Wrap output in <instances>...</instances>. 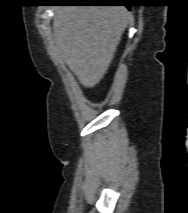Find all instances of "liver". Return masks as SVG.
<instances>
[{"instance_id":"6515ba94","label":"liver","mask_w":188,"mask_h":213,"mask_svg":"<svg viewBox=\"0 0 188 213\" xmlns=\"http://www.w3.org/2000/svg\"><path fill=\"white\" fill-rule=\"evenodd\" d=\"M131 18L124 6L55 9L56 48L84 87L92 88L104 77Z\"/></svg>"}]
</instances>
